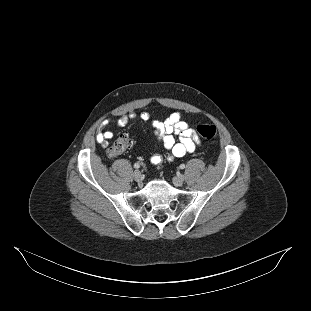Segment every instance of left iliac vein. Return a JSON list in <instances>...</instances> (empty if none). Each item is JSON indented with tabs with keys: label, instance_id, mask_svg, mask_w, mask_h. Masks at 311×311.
<instances>
[{
	"label": "left iliac vein",
	"instance_id": "1",
	"mask_svg": "<svg viewBox=\"0 0 311 311\" xmlns=\"http://www.w3.org/2000/svg\"><path fill=\"white\" fill-rule=\"evenodd\" d=\"M173 184L175 186H181L184 183V176L183 175H176L173 177Z\"/></svg>",
	"mask_w": 311,
	"mask_h": 311
}]
</instances>
